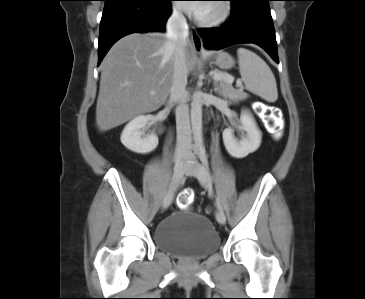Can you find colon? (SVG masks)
I'll list each match as a JSON object with an SVG mask.
<instances>
[{
    "instance_id": "5ec220e1",
    "label": "colon",
    "mask_w": 365,
    "mask_h": 299,
    "mask_svg": "<svg viewBox=\"0 0 365 299\" xmlns=\"http://www.w3.org/2000/svg\"><path fill=\"white\" fill-rule=\"evenodd\" d=\"M268 121V130L271 135L278 138L282 132L284 123L282 118L279 116V112L274 107H267V113L265 115ZM194 200V193L190 189H184L177 197V205L181 208L189 207Z\"/></svg>"
}]
</instances>
